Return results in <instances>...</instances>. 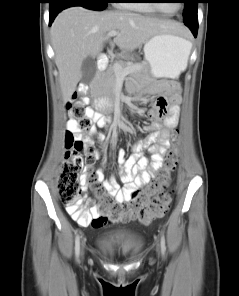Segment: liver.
<instances>
[{
    "mask_svg": "<svg viewBox=\"0 0 239 296\" xmlns=\"http://www.w3.org/2000/svg\"><path fill=\"white\" fill-rule=\"evenodd\" d=\"M119 32L113 41L110 31ZM183 32L181 24L126 11H93L80 6L63 10L51 27V41L64 102H67L82 79V63L96 57L105 42L124 51L142 46L159 33Z\"/></svg>",
    "mask_w": 239,
    "mask_h": 296,
    "instance_id": "liver-1",
    "label": "liver"
}]
</instances>
